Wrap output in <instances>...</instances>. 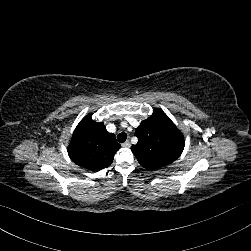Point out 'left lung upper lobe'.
<instances>
[{"mask_svg":"<svg viewBox=\"0 0 251 251\" xmlns=\"http://www.w3.org/2000/svg\"><path fill=\"white\" fill-rule=\"evenodd\" d=\"M141 122L135 135L138 143L131 147L142 167L157 170L173 163L184 149V137L161 110Z\"/></svg>","mask_w":251,"mask_h":251,"instance_id":"obj_1","label":"left lung upper lobe"}]
</instances>
